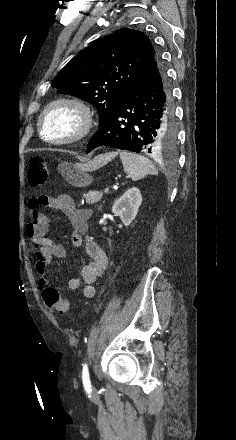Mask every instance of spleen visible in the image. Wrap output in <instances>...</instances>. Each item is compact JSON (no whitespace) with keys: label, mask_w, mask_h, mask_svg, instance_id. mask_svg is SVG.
Instances as JSON below:
<instances>
[{"label":"spleen","mask_w":236,"mask_h":440,"mask_svg":"<svg viewBox=\"0 0 236 440\" xmlns=\"http://www.w3.org/2000/svg\"><path fill=\"white\" fill-rule=\"evenodd\" d=\"M124 171L133 181H138L148 174H156L154 164L146 157L127 152H119Z\"/></svg>","instance_id":"3e777b00"}]
</instances>
